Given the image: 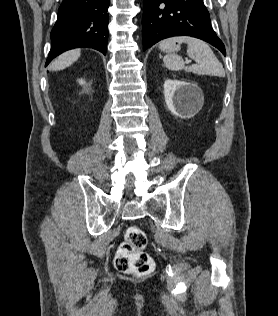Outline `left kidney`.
<instances>
[{
    "label": "left kidney",
    "mask_w": 278,
    "mask_h": 316,
    "mask_svg": "<svg viewBox=\"0 0 278 316\" xmlns=\"http://www.w3.org/2000/svg\"><path fill=\"white\" fill-rule=\"evenodd\" d=\"M164 96L167 108L181 118L192 117L203 104V93L193 83L167 79L164 82Z\"/></svg>",
    "instance_id": "1"
}]
</instances>
